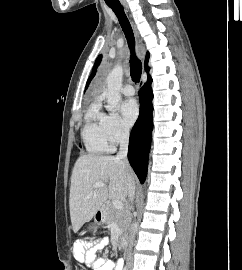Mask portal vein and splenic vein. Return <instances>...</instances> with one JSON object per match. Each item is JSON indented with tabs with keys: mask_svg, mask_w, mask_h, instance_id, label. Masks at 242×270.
<instances>
[{
	"mask_svg": "<svg viewBox=\"0 0 242 270\" xmlns=\"http://www.w3.org/2000/svg\"><path fill=\"white\" fill-rule=\"evenodd\" d=\"M100 187H105V184L102 183V182H96L94 185H93V188L94 189H97V188H100ZM112 204L113 206L117 209V210H122L123 209V202L118 200V199H114L112 201Z\"/></svg>",
	"mask_w": 242,
	"mask_h": 270,
	"instance_id": "1",
	"label": "portal vein and splenic vein"
}]
</instances>
